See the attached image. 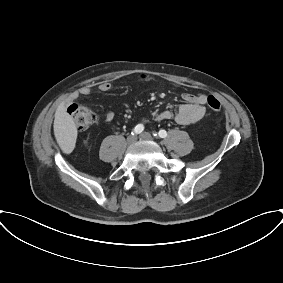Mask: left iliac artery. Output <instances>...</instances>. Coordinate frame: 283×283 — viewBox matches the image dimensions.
<instances>
[{"label": "left iliac artery", "instance_id": "left-iliac-artery-1", "mask_svg": "<svg viewBox=\"0 0 283 283\" xmlns=\"http://www.w3.org/2000/svg\"><path fill=\"white\" fill-rule=\"evenodd\" d=\"M154 136H158L160 138H165L167 136V132L163 129L159 130L158 134L154 133Z\"/></svg>", "mask_w": 283, "mask_h": 283}]
</instances>
